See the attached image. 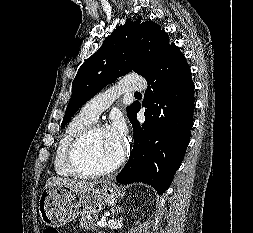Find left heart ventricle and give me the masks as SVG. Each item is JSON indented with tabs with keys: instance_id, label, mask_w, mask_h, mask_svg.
<instances>
[{
	"instance_id": "left-heart-ventricle-1",
	"label": "left heart ventricle",
	"mask_w": 253,
	"mask_h": 233,
	"mask_svg": "<svg viewBox=\"0 0 253 233\" xmlns=\"http://www.w3.org/2000/svg\"><path fill=\"white\" fill-rule=\"evenodd\" d=\"M121 149L122 145L111 138L106 128H99L81 150L79 164L88 170L105 168L118 158Z\"/></svg>"
}]
</instances>
